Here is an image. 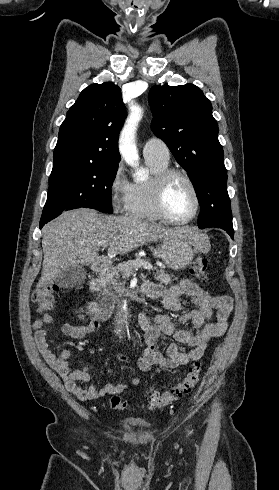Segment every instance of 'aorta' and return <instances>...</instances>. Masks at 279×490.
<instances>
[{"mask_svg":"<svg viewBox=\"0 0 279 490\" xmlns=\"http://www.w3.org/2000/svg\"><path fill=\"white\" fill-rule=\"evenodd\" d=\"M141 108L137 106H133L130 111V115L127 118L125 125L120 133L119 138V151L124 160L132 165L137 167V161L139 159L136 145H135V132L137 129V125L139 120L141 119ZM138 174L141 171H137ZM129 327V315L127 313L126 305H122L121 307L115 310L114 314V330L115 333L123 337L127 334Z\"/></svg>","mask_w":279,"mask_h":490,"instance_id":"1","label":"aorta"}]
</instances>
